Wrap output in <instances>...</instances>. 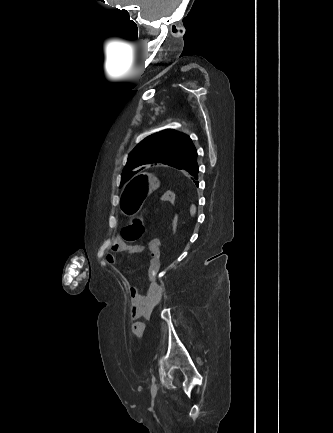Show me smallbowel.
Returning a JSON list of instances; mask_svg holds the SVG:
<instances>
[{"label": "small bowel", "mask_w": 333, "mask_h": 433, "mask_svg": "<svg viewBox=\"0 0 333 433\" xmlns=\"http://www.w3.org/2000/svg\"><path fill=\"white\" fill-rule=\"evenodd\" d=\"M161 247L162 242L159 239H152L149 244V263L148 272L154 278L160 270L161 266ZM144 247L141 245H123L121 243H113L108 251L107 260L114 265L119 264L118 254L127 251L131 254L141 253ZM164 294L163 284L154 279L148 288L144 291L139 287H131L129 290L130 306L129 316L133 320L131 329L136 337H141L145 330L143 320L151 318L155 308L160 303Z\"/></svg>", "instance_id": "obj_1"}]
</instances>
